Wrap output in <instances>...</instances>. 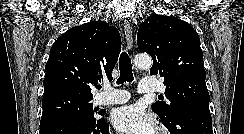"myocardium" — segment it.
Wrapping results in <instances>:
<instances>
[{
	"instance_id": "obj_1",
	"label": "myocardium",
	"mask_w": 244,
	"mask_h": 134,
	"mask_svg": "<svg viewBox=\"0 0 244 134\" xmlns=\"http://www.w3.org/2000/svg\"><path fill=\"white\" fill-rule=\"evenodd\" d=\"M157 134H167L164 130L160 129Z\"/></svg>"
}]
</instances>
